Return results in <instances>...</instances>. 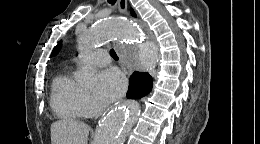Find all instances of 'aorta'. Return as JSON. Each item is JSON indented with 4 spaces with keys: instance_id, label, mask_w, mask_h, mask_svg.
<instances>
[{
    "instance_id": "1",
    "label": "aorta",
    "mask_w": 260,
    "mask_h": 144,
    "mask_svg": "<svg viewBox=\"0 0 260 144\" xmlns=\"http://www.w3.org/2000/svg\"><path fill=\"white\" fill-rule=\"evenodd\" d=\"M143 38L138 26L132 21L107 19L78 35V49L86 54L96 45L113 40H126L130 46L123 51L122 56L134 62L138 59L134 45L141 44ZM140 62L145 68L154 66V61L150 57H143ZM78 80L86 86L94 85L96 81L94 68L88 64L83 66L78 74ZM140 109L138 102L126 101L110 111L99 123L95 144H124L130 130L138 121Z\"/></svg>"
}]
</instances>
